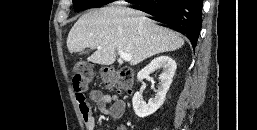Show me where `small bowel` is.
<instances>
[{"label":"small bowel","instance_id":"obj_1","mask_svg":"<svg viewBox=\"0 0 257 130\" xmlns=\"http://www.w3.org/2000/svg\"><path fill=\"white\" fill-rule=\"evenodd\" d=\"M80 114L83 118L87 130H95L96 121L92 114L91 106L88 100L95 103L99 111L106 116L115 119L121 118L126 111V103L113 94H104L99 90H92L88 93V100L84 95V99L76 96ZM117 130H128L125 126L119 127Z\"/></svg>","mask_w":257,"mask_h":130}]
</instances>
